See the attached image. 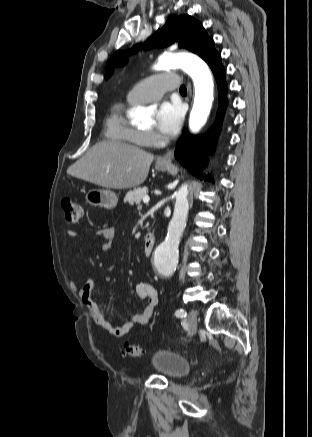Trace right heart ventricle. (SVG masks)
Instances as JSON below:
<instances>
[{
  "instance_id": "1",
  "label": "right heart ventricle",
  "mask_w": 312,
  "mask_h": 437,
  "mask_svg": "<svg viewBox=\"0 0 312 437\" xmlns=\"http://www.w3.org/2000/svg\"><path fill=\"white\" fill-rule=\"evenodd\" d=\"M105 131L108 139L119 144L133 146H144L146 144L143 132L137 129L127 118L124 104H116L112 107L105 122Z\"/></svg>"
}]
</instances>
